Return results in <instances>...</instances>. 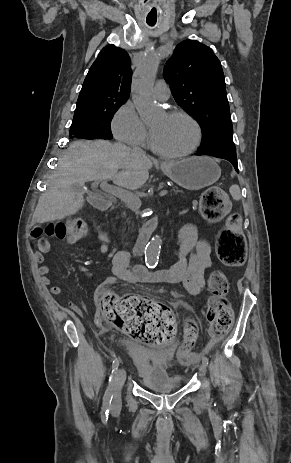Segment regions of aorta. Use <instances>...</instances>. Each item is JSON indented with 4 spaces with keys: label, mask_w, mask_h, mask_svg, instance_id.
<instances>
[{
    "label": "aorta",
    "mask_w": 291,
    "mask_h": 463,
    "mask_svg": "<svg viewBox=\"0 0 291 463\" xmlns=\"http://www.w3.org/2000/svg\"><path fill=\"white\" fill-rule=\"evenodd\" d=\"M159 67V58L154 52H149L137 67L132 81V100L142 119H148L155 113L153 86ZM162 240L155 236L148 243L145 251V263L153 268L159 261Z\"/></svg>",
    "instance_id": "1"
}]
</instances>
